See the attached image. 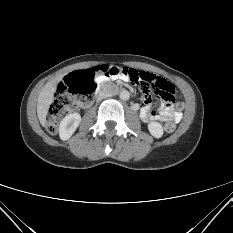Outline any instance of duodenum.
Segmentation results:
<instances>
[{
	"mask_svg": "<svg viewBox=\"0 0 233 233\" xmlns=\"http://www.w3.org/2000/svg\"><path fill=\"white\" fill-rule=\"evenodd\" d=\"M118 90H119V87L117 85L104 82V83L99 84L98 89H97V94L107 93L109 91L116 92Z\"/></svg>",
	"mask_w": 233,
	"mask_h": 233,
	"instance_id": "obj_1",
	"label": "duodenum"
}]
</instances>
